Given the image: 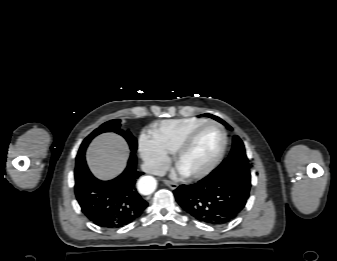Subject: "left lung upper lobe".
Returning <instances> with one entry per match:
<instances>
[{
    "label": "left lung upper lobe",
    "mask_w": 337,
    "mask_h": 261,
    "mask_svg": "<svg viewBox=\"0 0 337 261\" xmlns=\"http://www.w3.org/2000/svg\"><path fill=\"white\" fill-rule=\"evenodd\" d=\"M219 122L223 123L225 126L230 128V126L225 123L220 118L208 115ZM250 164L246 156L244 144L242 140L235 135L233 137V146L229 157L225 159L219 167H217L211 175H223L230 179L238 182L247 191H250L251 187V175H250Z\"/></svg>",
    "instance_id": "1"
}]
</instances>
